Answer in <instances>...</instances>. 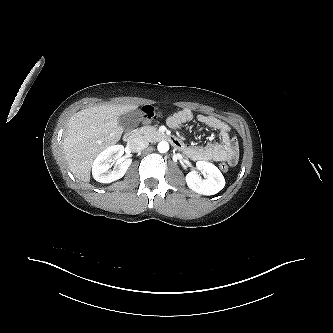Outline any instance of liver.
Instances as JSON below:
<instances>
[{
  "instance_id": "1",
  "label": "liver",
  "mask_w": 333,
  "mask_h": 333,
  "mask_svg": "<svg viewBox=\"0 0 333 333\" xmlns=\"http://www.w3.org/2000/svg\"><path fill=\"white\" fill-rule=\"evenodd\" d=\"M137 108L138 105H100L83 109L70 117L63 136V151L77 179L90 181L95 158L122 136L119 117Z\"/></svg>"
}]
</instances>
